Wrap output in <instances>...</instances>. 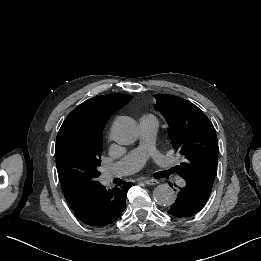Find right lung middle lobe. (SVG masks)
I'll return each mask as SVG.
<instances>
[{
	"instance_id": "dd1d6c3e",
	"label": "right lung middle lobe",
	"mask_w": 261,
	"mask_h": 261,
	"mask_svg": "<svg viewBox=\"0 0 261 261\" xmlns=\"http://www.w3.org/2000/svg\"><path fill=\"white\" fill-rule=\"evenodd\" d=\"M102 143L86 137L68 139L55 155L57 170L67 202L86 196L99 184Z\"/></svg>"
}]
</instances>
